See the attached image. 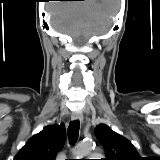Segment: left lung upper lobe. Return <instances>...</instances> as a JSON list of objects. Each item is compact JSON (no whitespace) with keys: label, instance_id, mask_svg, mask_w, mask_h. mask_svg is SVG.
I'll return each mask as SVG.
<instances>
[{"label":"left lung upper lobe","instance_id":"1","mask_svg":"<svg viewBox=\"0 0 160 160\" xmlns=\"http://www.w3.org/2000/svg\"><path fill=\"white\" fill-rule=\"evenodd\" d=\"M95 134L106 152L103 160H143L133 144L109 126L100 124L96 127Z\"/></svg>","mask_w":160,"mask_h":160}]
</instances>
